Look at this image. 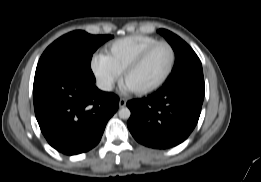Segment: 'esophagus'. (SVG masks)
Here are the masks:
<instances>
[{
	"instance_id": "34e87169",
	"label": "esophagus",
	"mask_w": 261,
	"mask_h": 182,
	"mask_svg": "<svg viewBox=\"0 0 261 182\" xmlns=\"http://www.w3.org/2000/svg\"><path fill=\"white\" fill-rule=\"evenodd\" d=\"M126 105V99L125 98H120L119 100V107L122 108Z\"/></svg>"
}]
</instances>
